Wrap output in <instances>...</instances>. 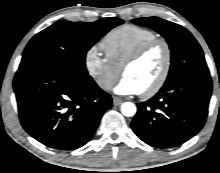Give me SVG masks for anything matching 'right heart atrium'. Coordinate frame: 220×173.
Segmentation results:
<instances>
[{
	"mask_svg": "<svg viewBox=\"0 0 220 173\" xmlns=\"http://www.w3.org/2000/svg\"><path fill=\"white\" fill-rule=\"evenodd\" d=\"M84 67L88 76L103 91H109L121 73V70L107 57L102 56L95 46L85 52Z\"/></svg>",
	"mask_w": 220,
	"mask_h": 173,
	"instance_id": "right-heart-atrium-1",
	"label": "right heart atrium"
}]
</instances>
